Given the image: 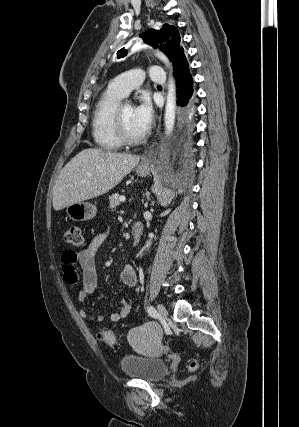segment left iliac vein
Wrapping results in <instances>:
<instances>
[{
	"mask_svg": "<svg viewBox=\"0 0 299 427\" xmlns=\"http://www.w3.org/2000/svg\"><path fill=\"white\" fill-rule=\"evenodd\" d=\"M157 309H158V313H159V315H160V318H161L163 321H166V320H167V318H168V313H167L166 308H165L163 305L158 304Z\"/></svg>",
	"mask_w": 299,
	"mask_h": 427,
	"instance_id": "4c4485c4",
	"label": "left iliac vein"
}]
</instances>
